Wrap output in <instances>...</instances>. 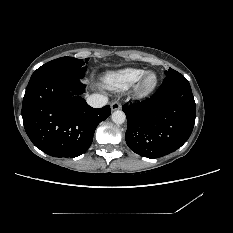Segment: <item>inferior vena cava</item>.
<instances>
[{
  "mask_svg": "<svg viewBox=\"0 0 233 233\" xmlns=\"http://www.w3.org/2000/svg\"><path fill=\"white\" fill-rule=\"evenodd\" d=\"M108 102V98L100 94H92L88 96L87 103L93 108H101Z\"/></svg>",
  "mask_w": 233,
  "mask_h": 233,
  "instance_id": "inferior-vena-cava-1",
  "label": "inferior vena cava"
}]
</instances>
